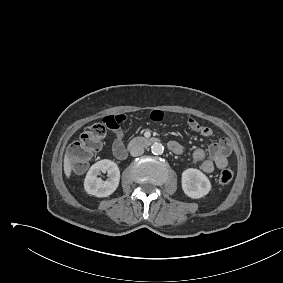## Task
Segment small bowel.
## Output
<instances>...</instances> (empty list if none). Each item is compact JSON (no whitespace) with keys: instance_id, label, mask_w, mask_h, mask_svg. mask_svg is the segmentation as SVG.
Listing matches in <instances>:
<instances>
[{"instance_id":"1","label":"small bowel","mask_w":283,"mask_h":283,"mask_svg":"<svg viewBox=\"0 0 283 283\" xmlns=\"http://www.w3.org/2000/svg\"><path fill=\"white\" fill-rule=\"evenodd\" d=\"M151 118L154 121H161L163 119V112L160 110H153L151 112ZM126 121L125 115H113L108 116L104 119L107 127L111 129L114 134L113 141V153L116 158H125V146H124V133L121 125ZM188 127L195 133L201 135L202 137L209 139L213 131L210 127L199 123L194 118H189L187 120ZM170 150L174 154H182L184 152L183 146L172 141L169 144ZM232 145L229 139L222 138L217 142L211 143L208 146L207 152L198 148L193 152V160L199 164L200 169L205 173H211L216 168L223 169L228 164V157L231 154ZM208 155V157H207Z\"/></svg>"}]
</instances>
